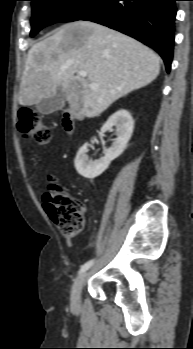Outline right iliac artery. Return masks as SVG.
I'll return each mask as SVG.
<instances>
[{"label": "right iliac artery", "instance_id": "obj_1", "mask_svg": "<svg viewBox=\"0 0 193 349\" xmlns=\"http://www.w3.org/2000/svg\"><path fill=\"white\" fill-rule=\"evenodd\" d=\"M93 263H94V260H90V261L86 262L85 264H83L81 266L78 273L81 274V273L85 272L86 270H88L92 266Z\"/></svg>", "mask_w": 193, "mask_h": 349}]
</instances>
